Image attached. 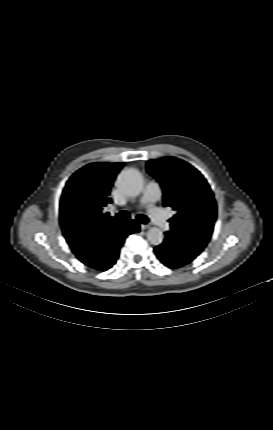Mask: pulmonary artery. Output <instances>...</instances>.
Masks as SVG:
<instances>
[{"mask_svg": "<svg viewBox=\"0 0 273 430\" xmlns=\"http://www.w3.org/2000/svg\"><path fill=\"white\" fill-rule=\"evenodd\" d=\"M161 197V190L159 185L152 181L149 182L143 192L140 204L147 207L151 219L162 229L169 230L170 225L166 218L165 213L155 203Z\"/></svg>", "mask_w": 273, "mask_h": 430, "instance_id": "obj_1", "label": "pulmonary artery"}]
</instances>
